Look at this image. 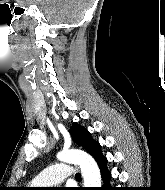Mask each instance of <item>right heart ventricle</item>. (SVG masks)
<instances>
[{"mask_svg":"<svg viewBox=\"0 0 165 190\" xmlns=\"http://www.w3.org/2000/svg\"><path fill=\"white\" fill-rule=\"evenodd\" d=\"M30 186L35 187L36 185L33 182H31Z\"/></svg>","mask_w":165,"mask_h":190,"instance_id":"e07e8e85","label":"right heart ventricle"}]
</instances>
